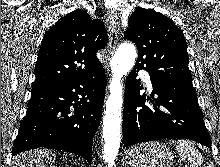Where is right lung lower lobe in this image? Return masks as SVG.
<instances>
[{
  "label": "right lung lower lobe",
  "instance_id": "1",
  "mask_svg": "<svg viewBox=\"0 0 220 167\" xmlns=\"http://www.w3.org/2000/svg\"><path fill=\"white\" fill-rule=\"evenodd\" d=\"M105 88L101 66L67 84L32 92L12 155L44 147L75 153L90 164Z\"/></svg>",
  "mask_w": 220,
  "mask_h": 167
}]
</instances>
